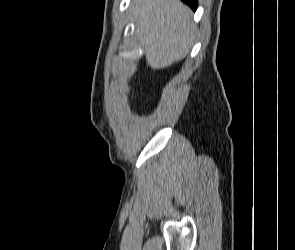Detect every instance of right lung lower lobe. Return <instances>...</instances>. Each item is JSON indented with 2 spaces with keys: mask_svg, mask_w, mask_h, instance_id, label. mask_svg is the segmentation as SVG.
Wrapping results in <instances>:
<instances>
[{
  "mask_svg": "<svg viewBox=\"0 0 295 250\" xmlns=\"http://www.w3.org/2000/svg\"><path fill=\"white\" fill-rule=\"evenodd\" d=\"M187 3L193 10L197 9L198 1L197 0H182Z\"/></svg>",
  "mask_w": 295,
  "mask_h": 250,
  "instance_id": "98d812e1",
  "label": "right lung lower lobe"
}]
</instances>
